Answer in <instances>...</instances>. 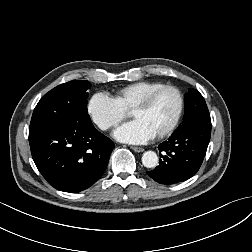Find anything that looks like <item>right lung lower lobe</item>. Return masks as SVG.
Listing matches in <instances>:
<instances>
[{
  "label": "right lung lower lobe",
  "instance_id": "1",
  "mask_svg": "<svg viewBox=\"0 0 252 252\" xmlns=\"http://www.w3.org/2000/svg\"><path fill=\"white\" fill-rule=\"evenodd\" d=\"M33 160L47 182L64 192H80L104 173L114 143L93 124L60 121L29 127Z\"/></svg>",
  "mask_w": 252,
  "mask_h": 252
}]
</instances>
